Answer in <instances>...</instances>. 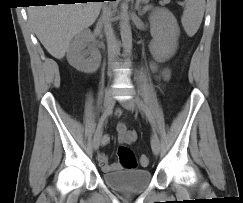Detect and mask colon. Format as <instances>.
<instances>
[{
  "mask_svg": "<svg viewBox=\"0 0 243 203\" xmlns=\"http://www.w3.org/2000/svg\"><path fill=\"white\" fill-rule=\"evenodd\" d=\"M119 161L122 167L126 170L135 169L138 165L137 159L135 158L132 151L125 145H121L117 150ZM142 166H147L149 164V158L147 156H142L139 160Z\"/></svg>",
  "mask_w": 243,
  "mask_h": 203,
  "instance_id": "5ec220e1",
  "label": "colon"
}]
</instances>
